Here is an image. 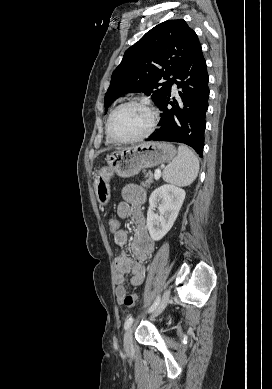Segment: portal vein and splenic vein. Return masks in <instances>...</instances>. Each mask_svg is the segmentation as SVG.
Listing matches in <instances>:
<instances>
[{
  "label": "portal vein and splenic vein",
  "instance_id": "1",
  "mask_svg": "<svg viewBox=\"0 0 272 389\" xmlns=\"http://www.w3.org/2000/svg\"><path fill=\"white\" fill-rule=\"evenodd\" d=\"M154 176H155V179L158 180L161 177V170L160 169H156Z\"/></svg>",
  "mask_w": 272,
  "mask_h": 389
}]
</instances>
